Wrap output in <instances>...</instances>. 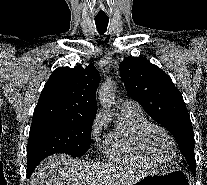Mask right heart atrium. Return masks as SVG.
Returning a JSON list of instances; mask_svg holds the SVG:
<instances>
[{"instance_id":"1","label":"right heart atrium","mask_w":207,"mask_h":185,"mask_svg":"<svg viewBox=\"0 0 207 185\" xmlns=\"http://www.w3.org/2000/svg\"><path fill=\"white\" fill-rule=\"evenodd\" d=\"M109 122V114L105 111H100L96 114L92 122V134L97 136Z\"/></svg>"}]
</instances>
